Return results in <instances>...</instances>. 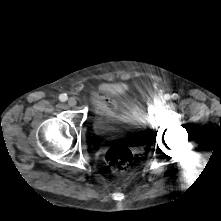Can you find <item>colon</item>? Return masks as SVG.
Returning a JSON list of instances; mask_svg holds the SVG:
<instances>
[{
	"mask_svg": "<svg viewBox=\"0 0 221 221\" xmlns=\"http://www.w3.org/2000/svg\"><path fill=\"white\" fill-rule=\"evenodd\" d=\"M105 101H110L109 98L103 97ZM133 160V155L130 149L121 144H115L108 148L105 153V162L113 173L119 174L126 171Z\"/></svg>",
	"mask_w": 221,
	"mask_h": 221,
	"instance_id": "colon-1",
	"label": "colon"
}]
</instances>
